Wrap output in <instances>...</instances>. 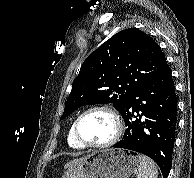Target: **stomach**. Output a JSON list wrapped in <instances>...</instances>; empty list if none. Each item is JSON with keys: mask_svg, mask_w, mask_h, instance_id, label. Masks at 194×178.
Segmentation results:
<instances>
[{"mask_svg": "<svg viewBox=\"0 0 194 178\" xmlns=\"http://www.w3.org/2000/svg\"><path fill=\"white\" fill-rule=\"evenodd\" d=\"M139 167V156L126 149L94 151L70 167L62 178H129Z\"/></svg>", "mask_w": 194, "mask_h": 178, "instance_id": "0dacf381", "label": "stomach"}]
</instances>
